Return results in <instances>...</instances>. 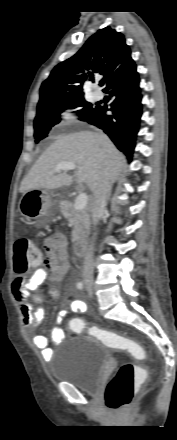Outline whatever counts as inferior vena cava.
<instances>
[{"instance_id": "1", "label": "inferior vena cava", "mask_w": 177, "mask_h": 440, "mask_svg": "<svg viewBox=\"0 0 177 440\" xmlns=\"http://www.w3.org/2000/svg\"><path fill=\"white\" fill-rule=\"evenodd\" d=\"M109 179L106 174H102L94 188V200L92 204V221L96 225L98 223L100 215L103 213L108 193H109ZM94 263H93V247L90 246L83 263V278L85 280H93Z\"/></svg>"}]
</instances>
